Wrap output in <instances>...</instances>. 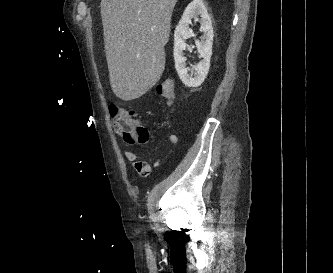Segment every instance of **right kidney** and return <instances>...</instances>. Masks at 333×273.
I'll return each mask as SVG.
<instances>
[{"mask_svg": "<svg viewBox=\"0 0 333 273\" xmlns=\"http://www.w3.org/2000/svg\"><path fill=\"white\" fill-rule=\"evenodd\" d=\"M200 15V31L203 32L202 41H195L198 53L203 58L196 66L189 69L186 66V57L184 50L187 48L185 40L193 36L192 30L189 28L191 19ZM213 27L211 18L203 3V0H193L185 9L181 20L179 21L174 32V61L175 68L180 80L187 87H198L205 80L209 67L210 58L212 55L213 43Z\"/></svg>", "mask_w": 333, "mask_h": 273, "instance_id": "right-kidney-1", "label": "right kidney"}]
</instances>
